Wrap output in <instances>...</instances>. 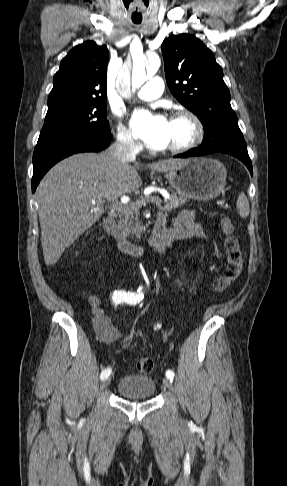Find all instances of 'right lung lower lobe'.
I'll use <instances>...</instances> for the list:
<instances>
[{
  "instance_id": "98d812e1",
  "label": "right lung lower lobe",
  "mask_w": 287,
  "mask_h": 486,
  "mask_svg": "<svg viewBox=\"0 0 287 486\" xmlns=\"http://www.w3.org/2000/svg\"><path fill=\"white\" fill-rule=\"evenodd\" d=\"M111 134L95 140H71L36 145L33 154L32 192H35L45 173L60 160L79 152H98L110 144Z\"/></svg>"
}]
</instances>
